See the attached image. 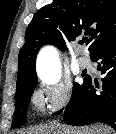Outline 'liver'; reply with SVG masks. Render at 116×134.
Wrapping results in <instances>:
<instances>
[{
    "instance_id": "liver-1",
    "label": "liver",
    "mask_w": 116,
    "mask_h": 134,
    "mask_svg": "<svg viewBox=\"0 0 116 134\" xmlns=\"http://www.w3.org/2000/svg\"><path fill=\"white\" fill-rule=\"evenodd\" d=\"M107 126H96L92 129H74L63 125L41 126L24 132L23 134H109Z\"/></svg>"
}]
</instances>
